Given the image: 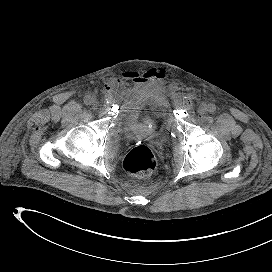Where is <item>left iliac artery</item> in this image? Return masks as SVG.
<instances>
[{
	"instance_id": "left-iliac-artery-1",
	"label": "left iliac artery",
	"mask_w": 272,
	"mask_h": 272,
	"mask_svg": "<svg viewBox=\"0 0 272 272\" xmlns=\"http://www.w3.org/2000/svg\"><path fill=\"white\" fill-rule=\"evenodd\" d=\"M208 111H209V113L213 114L216 111V106L214 104H210L208 106Z\"/></svg>"
}]
</instances>
